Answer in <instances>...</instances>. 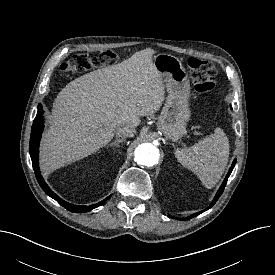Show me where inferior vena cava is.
Returning <instances> with one entry per match:
<instances>
[{
	"mask_svg": "<svg viewBox=\"0 0 275 275\" xmlns=\"http://www.w3.org/2000/svg\"><path fill=\"white\" fill-rule=\"evenodd\" d=\"M114 132L118 137L126 138L133 137L136 133V129L130 124H120L115 127Z\"/></svg>",
	"mask_w": 275,
	"mask_h": 275,
	"instance_id": "602c4592",
	"label": "inferior vena cava"
}]
</instances>
